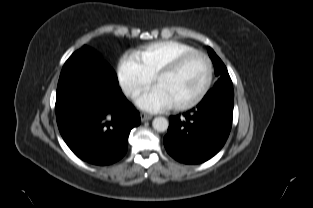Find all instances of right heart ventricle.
Wrapping results in <instances>:
<instances>
[{
	"mask_svg": "<svg viewBox=\"0 0 313 208\" xmlns=\"http://www.w3.org/2000/svg\"><path fill=\"white\" fill-rule=\"evenodd\" d=\"M197 50L194 46L177 41L163 40L144 46L135 55L140 63L153 75L178 56Z\"/></svg>",
	"mask_w": 313,
	"mask_h": 208,
	"instance_id": "1",
	"label": "right heart ventricle"
}]
</instances>
